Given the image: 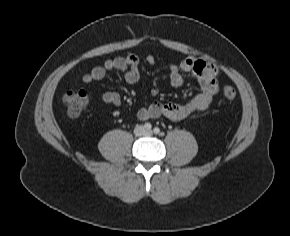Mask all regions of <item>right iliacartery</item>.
<instances>
[{
    "instance_id": "1",
    "label": "right iliac artery",
    "mask_w": 290,
    "mask_h": 236,
    "mask_svg": "<svg viewBox=\"0 0 290 236\" xmlns=\"http://www.w3.org/2000/svg\"><path fill=\"white\" fill-rule=\"evenodd\" d=\"M144 128H145L146 130H151L152 125H151L149 122H147V123L144 124Z\"/></svg>"
}]
</instances>
